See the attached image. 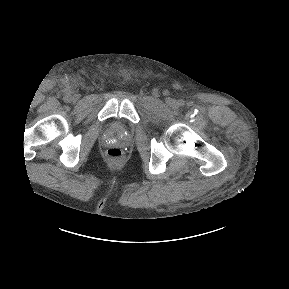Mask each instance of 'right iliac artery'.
I'll list each match as a JSON object with an SVG mask.
<instances>
[{
	"mask_svg": "<svg viewBox=\"0 0 289 289\" xmlns=\"http://www.w3.org/2000/svg\"><path fill=\"white\" fill-rule=\"evenodd\" d=\"M64 99H65V101H70L71 97H70V95H66V96L64 97Z\"/></svg>",
	"mask_w": 289,
	"mask_h": 289,
	"instance_id": "obj_1",
	"label": "right iliac artery"
}]
</instances>
